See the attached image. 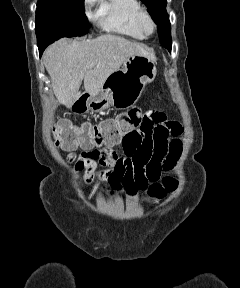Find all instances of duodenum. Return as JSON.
<instances>
[{"label":"duodenum","mask_w":240,"mask_h":288,"mask_svg":"<svg viewBox=\"0 0 240 288\" xmlns=\"http://www.w3.org/2000/svg\"><path fill=\"white\" fill-rule=\"evenodd\" d=\"M87 99V97H83V100L85 101Z\"/></svg>","instance_id":"duodenum-1"}]
</instances>
